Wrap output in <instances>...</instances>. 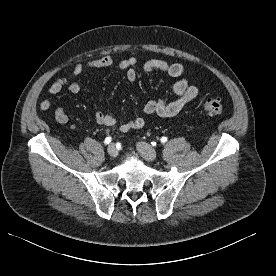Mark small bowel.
I'll return each mask as SVG.
<instances>
[{"instance_id": "c3829d8e", "label": "small bowel", "mask_w": 276, "mask_h": 276, "mask_svg": "<svg viewBox=\"0 0 276 276\" xmlns=\"http://www.w3.org/2000/svg\"><path fill=\"white\" fill-rule=\"evenodd\" d=\"M138 62L137 57H129L123 59L119 63V68L126 72V79L129 82H134L137 78V71L135 66ZM113 64V58L110 55H104L101 58L91 60L87 63V67L92 69L107 68ZM143 69L146 72L159 70L166 72L172 78H178L183 75L184 67L181 64H171L166 60L162 59H151L144 63ZM83 71L82 64H75L73 66L72 74L78 75ZM67 84L65 78H61L52 83L48 88L49 94H57ZM68 89L73 94H78L81 90L80 85L77 82L69 84ZM173 92L178 96L177 99L172 101H149L144 106V112L147 114H156L162 117H173L177 115L186 104L195 99L198 95V88L194 85H190L185 78L177 80L173 84ZM51 103L49 100H44L39 104L41 111H47L50 109ZM54 117L57 122L64 124L68 122V115L62 107H58L54 111ZM95 120L98 124L111 127L116 123V119L107 113L100 110H96L94 113ZM145 120L141 116H136L127 122L119 126V130L127 132L130 130H138L143 128Z\"/></svg>"}]
</instances>
